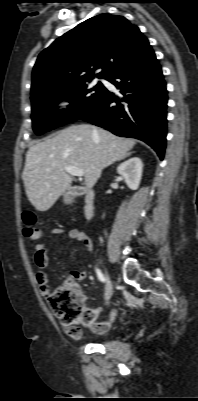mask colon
Returning <instances> with one entry per match:
<instances>
[{"instance_id":"5ec220e1","label":"colon","mask_w":198,"mask_h":401,"mask_svg":"<svg viewBox=\"0 0 198 401\" xmlns=\"http://www.w3.org/2000/svg\"><path fill=\"white\" fill-rule=\"evenodd\" d=\"M22 221L24 235L30 240H39L42 230L37 225L36 215L25 212ZM47 295L53 314L68 328L71 336H78L79 326L91 327L96 322L93 310L85 305L82 294L72 285H61Z\"/></svg>"}]
</instances>
